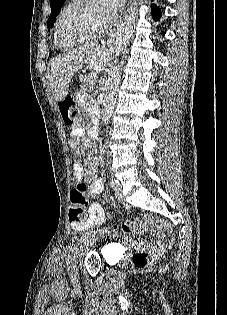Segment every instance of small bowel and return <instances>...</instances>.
I'll return each mask as SVG.
<instances>
[{
	"mask_svg": "<svg viewBox=\"0 0 227 315\" xmlns=\"http://www.w3.org/2000/svg\"><path fill=\"white\" fill-rule=\"evenodd\" d=\"M79 99H82V95H78ZM83 128L80 125H74L70 131V141L69 145L71 148L72 164H73V176L75 181L84 182L88 185L87 193L89 195H97L103 191L102 180L97 178L96 173V157L93 151L89 153V167L85 169L80 160V143L83 140ZM85 146L91 148V143L85 141ZM105 219V212L102 206L98 203H93L89 207L88 217L85 222H73L71 221V226L74 230H86L93 224L101 223ZM170 230V228L168 227ZM163 240L158 239L151 244V247L158 248L163 244Z\"/></svg>",
	"mask_w": 227,
	"mask_h": 315,
	"instance_id": "c3829d8e",
	"label": "small bowel"
}]
</instances>
